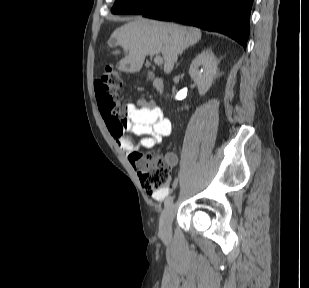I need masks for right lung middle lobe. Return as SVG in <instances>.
I'll use <instances>...</instances> for the list:
<instances>
[{"instance_id":"right-lung-middle-lobe-1","label":"right lung middle lobe","mask_w":309,"mask_h":288,"mask_svg":"<svg viewBox=\"0 0 309 288\" xmlns=\"http://www.w3.org/2000/svg\"><path fill=\"white\" fill-rule=\"evenodd\" d=\"M165 0H116L112 8L113 14H142Z\"/></svg>"}]
</instances>
